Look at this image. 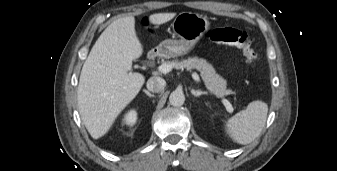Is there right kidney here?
<instances>
[{
  "label": "right kidney",
  "instance_id": "ca27d5eb",
  "mask_svg": "<svg viewBox=\"0 0 337 171\" xmlns=\"http://www.w3.org/2000/svg\"><path fill=\"white\" fill-rule=\"evenodd\" d=\"M137 120V112L135 110H130L123 119V123L128 126H133Z\"/></svg>",
  "mask_w": 337,
  "mask_h": 171
}]
</instances>
